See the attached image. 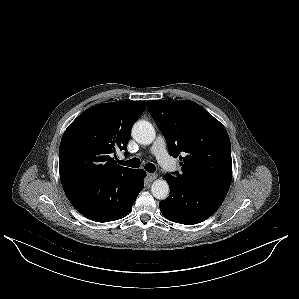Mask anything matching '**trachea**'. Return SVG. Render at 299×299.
<instances>
[{
  "label": "trachea",
  "mask_w": 299,
  "mask_h": 299,
  "mask_svg": "<svg viewBox=\"0 0 299 299\" xmlns=\"http://www.w3.org/2000/svg\"><path fill=\"white\" fill-rule=\"evenodd\" d=\"M117 162L120 165L132 167V168H138V167H140V163H141L138 158H132V159H130L128 161L117 160ZM144 168L149 173H153L156 170L155 165L152 164V163H147Z\"/></svg>",
  "instance_id": "1"
}]
</instances>
